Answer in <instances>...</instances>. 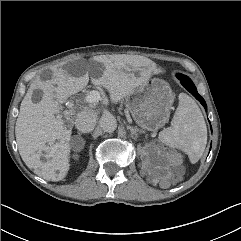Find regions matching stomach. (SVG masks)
<instances>
[{
    "mask_svg": "<svg viewBox=\"0 0 241 241\" xmlns=\"http://www.w3.org/2000/svg\"><path fill=\"white\" fill-rule=\"evenodd\" d=\"M173 102L171 87L160 78H149L129 94L125 101L134 121L149 131L158 130L166 124Z\"/></svg>",
    "mask_w": 241,
    "mask_h": 241,
    "instance_id": "0dacf381",
    "label": "stomach"
}]
</instances>
